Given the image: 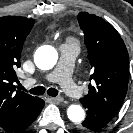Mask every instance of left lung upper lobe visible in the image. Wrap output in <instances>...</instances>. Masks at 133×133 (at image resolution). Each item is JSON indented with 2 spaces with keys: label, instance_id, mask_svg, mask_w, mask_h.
<instances>
[{
  "label": "left lung upper lobe",
  "instance_id": "5c2ea615",
  "mask_svg": "<svg viewBox=\"0 0 133 133\" xmlns=\"http://www.w3.org/2000/svg\"><path fill=\"white\" fill-rule=\"evenodd\" d=\"M84 32L88 59L93 71L89 93L81 103L94 104L116 112L121 106L128 87V52L116 29L96 15L81 12L78 15Z\"/></svg>",
  "mask_w": 133,
  "mask_h": 133
}]
</instances>
